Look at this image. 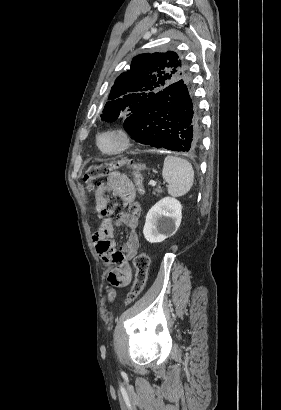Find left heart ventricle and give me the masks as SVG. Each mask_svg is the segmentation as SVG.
I'll use <instances>...</instances> for the list:
<instances>
[{"instance_id":"left-heart-ventricle-1","label":"left heart ventricle","mask_w":281,"mask_h":410,"mask_svg":"<svg viewBox=\"0 0 281 410\" xmlns=\"http://www.w3.org/2000/svg\"><path fill=\"white\" fill-rule=\"evenodd\" d=\"M116 145V140L112 137H105L102 140V146L106 149H110Z\"/></svg>"}]
</instances>
